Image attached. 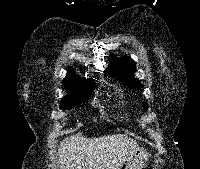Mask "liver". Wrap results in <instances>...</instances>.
Returning <instances> with one entry per match:
<instances>
[{
	"label": "liver",
	"instance_id": "liver-1",
	"mask_svg": "<svg viewBox=\"0 0 200 169\" xmlns=\"http://www.w3.org/2000/svg\"><path fill=\"white\" fill-rule=\"evenodd\" d=\"M137 149L138 143L122 134L99 138L72 135L58 147L57 169H118Z\"/></svg>",
	"mask_w": 200,
	"mask_h": 169
}]
</instances>
